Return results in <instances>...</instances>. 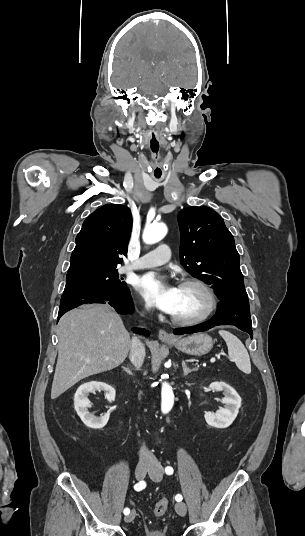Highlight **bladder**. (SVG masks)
<instances>
[{
    "instance_id": "1",
    "label": "bladder",
    "mask_w": 305,
    "mask_h": 536,
    "mask_svg": "<svg viewBox=\"0 0 305 536\" xmlns=\"http://www.w3.org/2000/svg\"><path fill=\"white\" fill-rule=\"evenodd\" d=\"M141 536H167V535H166V532H165L164 529H157L153 533L144 534V535H141Z\"/></svg>"
}]
</instances>
